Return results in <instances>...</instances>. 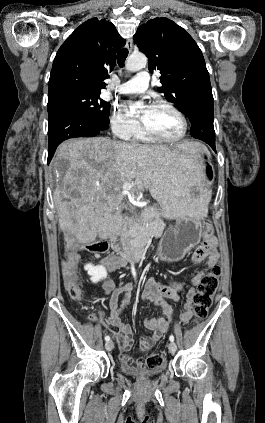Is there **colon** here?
Here are the masks:
<instances>
[{
	"label": "colon",
	"instance_id": "colon-1",
	"mask_svg": "<svg viewBox=\"0 0 265 423\" xmlns=\"http://www.w3.org/2000/svg\"><path fill=\"white\" fill-rule=\"evenodd\" d=\"M212 236V228L207 226L204 231L205 241ZM110 245L106 240H99L87 245V250L93 253H105L109 250ZM221 275V268L218 261L211 264L206 275L202 278L198 287V291L194 298L193 319L192 322L197 324L203 321L212 306L213 297L218 289L219 278ZM64 284L69 295L74 299H81L84 297V289L82 282L77 274L76 262L71 260L67 263L64 270ZM165 352L159 351L151 354L146 359L144 365L147 368L161 367L165 362Z\"/></svg>",
	"mask_w": 265,
	"mask_h": 423
}]
</instances>
